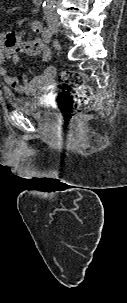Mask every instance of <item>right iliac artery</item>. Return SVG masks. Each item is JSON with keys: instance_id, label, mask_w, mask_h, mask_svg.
<instances>
[{"instance_id": "right-iliac-artery-1", "label": "right iliac artery", "mask_w": 127, "mask_h": 303, "mask_svg": "<svg viewBox=\"0 0 127 303\" xmlns=\"http://www.w3.org/2000/svg\"><path fill=\"white\" fill-rule=\"evenodd\" d=\"M47 14V13H46ZM43 39L46 43H50L52 39V32L48 27L44 28Z\"/></svg>"}]
</instances>
